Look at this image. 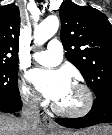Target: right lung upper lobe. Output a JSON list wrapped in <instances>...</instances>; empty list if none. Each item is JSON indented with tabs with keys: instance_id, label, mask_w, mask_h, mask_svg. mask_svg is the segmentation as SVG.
Instances as JSON below:
<instances>
[{
	"instance_id": "right-lung-upper-lobe-1",
	"label": "right lung upper lobe",
	"mask_w": 112,
	"mask_h": 135,
	"mask_svg": "<svg viewBox=\"0 0 112 135\" xmlns=\"http://www.w3.org/2000/svg\"><path fill=\"white\" fill-rule=\"evenodd\" d=\"M19 31V8L14 4L0 7V62H18Z\"/></svg>"
}]
</instances>
